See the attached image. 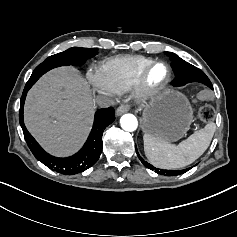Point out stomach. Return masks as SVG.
<instances>
[{
  "instance_id": "1",
  "label": "stomach",
  "mask_w": 237,
  "mask_h": 237,
  "mask_svg": "<svg viewBox=\"0 0 237 237\" xmlns=\"http://www.w3.org/2000/svg\"><path fill=\"white\" fill-rule=\"evenodd\" d=\"M142 103L141 128L145 134L175 142L190 129L193 110L184 94L167 88Z\"/></svg>"
}]
</instances>
